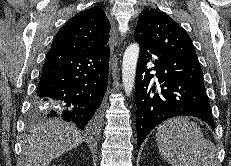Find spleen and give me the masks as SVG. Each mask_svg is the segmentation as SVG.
Wrapping results in <instances>:
<instances>
[{
  "label": "spleen",
  "instance_id": "1",
  "mask_svg": "<svg viewBox=\"0 0 231 166\" xmlns=\"http://www.w3.org/2000/svg\"><path fill=\"white\" fill-rule=\"evenodd\" d=\"M155 136L161 156L172 166H220L214 143L187 117L168 119Z\"/></svg>",
  "mask_w": 231,
  "mask_h": 166
}]
</instances>
